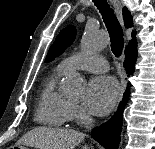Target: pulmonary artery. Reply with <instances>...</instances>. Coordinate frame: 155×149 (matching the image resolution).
I'll list each match as a JSON object with an SVG mask.
<instances>
[{
	"mask_svg": "<svg viewBox=\"0 0 155 149\" xmlns=\"http://www.w3.org/2000/svg\"><path fill=\"white\" fill-rule=\"evenodd\" d=\"M59 68L67 73L72 70H85L95 73L108 71V62L105 58L95 54H73L59 63Z\"/></svg>",
	"mask_w": 155,
	"mask_h": 149,
	"instance_id": "obj_1",
	"label": "pulmonary artery"
}]
</instances>
